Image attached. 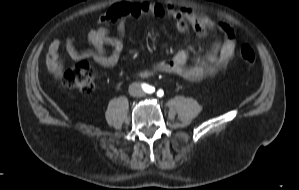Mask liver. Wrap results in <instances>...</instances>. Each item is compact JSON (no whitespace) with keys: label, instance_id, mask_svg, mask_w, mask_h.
I'll list each match as a JSON object with an SVG mask.
<instances>
[{"label":"liver","instance_id":"6515ba94","mask_svg":"<svg viewBox=\"0 0 299 190\" xmlns=\"http://www.w3.org/2000/svg\"><path fill=\"white\" fill-rule=\"evenodd\" d=\"M56 76L61 78L62 77V71H61V68L58 69L57 73H56Z\"/></svg>","mask_w":299,"mask_h":190}]
</instances>
